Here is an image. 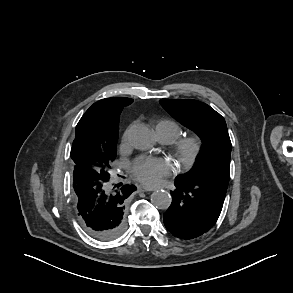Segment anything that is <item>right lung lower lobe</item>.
<instances>
[{
  "mask_svg": "<svg viewBox=\"0 0 293 293\" xmlns=\"http://www.w3.org/2000/svg\"><path fill=\"white\" fill-rule=\"evenodd\" d=\"M73 188L80 223L99 240H112L125 229V201L136 190L130 185H114L110 176L92 168L74 167Z\"/></svg>",
  "mask_w": 293,
  "mask_h": 293,
  "instance_id": "98d812e1",
  "label": "right lung lower lobe"
}]
</instances>
